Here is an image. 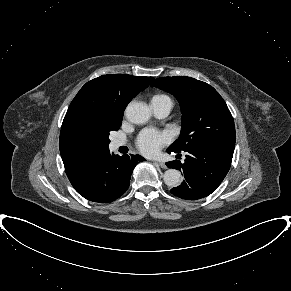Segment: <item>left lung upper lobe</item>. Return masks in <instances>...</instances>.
<instances>
[{"label": "left lung upper lobe", "instance_id": "obj_1", "mask_svg": "<svg viewBox=\"0 0 291 291\" xmlns=\"http://www.w3.org/2000/svg\"><path fill=\"white\" fill-rule=\"evenodd\" d=\"M151 86L170 92L180 103L181 134L168 150L181 152L203 144L235 143L233 117L212 86L185 76L157 78Z\"/></svg>", "mask_w": 291, "mask_h": 291}]
</instances>
